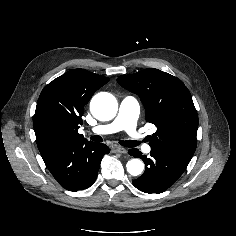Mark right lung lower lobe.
Masks as SVG:
<instances>
[{"mask_svg":"<svg viewBox=\"0 0 236 236\" xmlns=\"http://www.w3.org/2000/svg\"><path fill=\"white\" fill-rule=\"evenodd\" d=\"M109 152L105 144L73 140L40 153L58 183L66 190L78 191L94 183L102 157Z\"/></svg>","mask_w":236,"mask_h":236,"instance_id":"right-lung-lower-lobe-1","label":"right lung lower lobe"}]
</instances>
